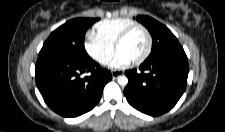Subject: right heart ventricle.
Returning <instances> with one entry per match:
<instances>
[{
    "mask_svg": "<svg viewBox=\"0 0 225 132\" xmlns=\"http://www.w3.org/2000/svg\"><path fill=\"white\" fill-rule=\"evenodd\" d=\"M137 23L129 18H115L98 22L94 26V35L102 42L114 46L118 36L128 27Z\"/></svg>",
    "mask_w": 225,
    "mask_h": 132,
    "instance_id": "1",
    "label": "right heart ventricle"
}]
</instances>
